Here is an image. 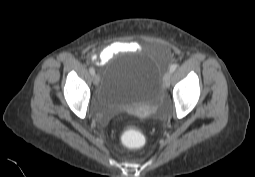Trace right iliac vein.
Wrapping results in <instances>:
<instances>
[{
    "mask_svg": "<svg viewBox=\"0 0 255 177\" xmlns=\"http://www.w3.org/2000/svg\"><path fill=\"white\" fill-rule=\"evenodd\" d=\"M99 81H100L99 76L97 74H94L93 75V83H94V85L97 86L99 84Z\"/></svg>",
    "mask_w": 255,
    "mask_h": 177,
    "instance_id": "63e3f726",
    "label": "right iliac vein"
}]
</instances>
